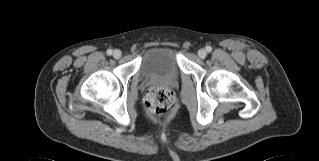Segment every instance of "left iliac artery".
I'll return each instance as SVG.
<instances>
[{
    "label": "left iliac artery",
    "mask_w": 319,
    "mask_h": 161,
    "mask_svg": "<svg viewBox=\"0 0 319 161\" xmlns=\"http://www.w3.org/2000/svg\"><path fill=\"white\" fill-rule=\"evenodd\" d=\"M206 50H207L208 52H211V51H212L211 46H207V47H206Z\"/></svg>",
    "instance_id": "1"
}]
</instances>
